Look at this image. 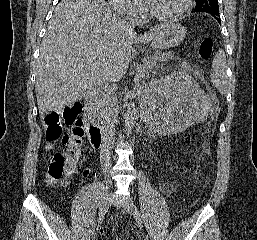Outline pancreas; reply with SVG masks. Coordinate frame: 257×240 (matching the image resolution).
<instances>
[{"instance_id":"cf45deb5","label":"pancreas","mask_w":257,"mask_h":240,"mask_svg":"<svg viewBox=\"0 0 257 240\" xmlns=\"http://www.w3.org/2000/svg\"><path fill=\"white\" fill-rule=\"evenodd\" d=\"M173 56L167 53H157L154 56L148 57L141 65L137 67V79H145L149 76L150 71L156 69L160 63L166 61ZM92 111L100 116H103L107 107V96L103 93H98L90 105Z\"/></svg>"}]
</instances>
